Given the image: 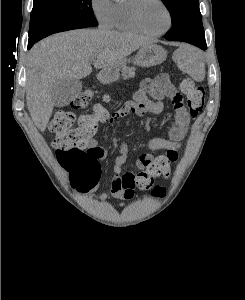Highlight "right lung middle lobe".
Instances as JSON below:
<instances>
[{
	"label": "right lung middle lobe",
	"instance_id": "dd1d6c3e",
	"mask_svg": "<svg viewBox=\"0 0 245 300\" xmlns=\"http://www.w3.org/2000/svg\"><path fill=\"white\" fill-rule=\"evenodd\" d=\"M97 25L91 0H34L28 43L53 33Z\"/></svg>",
	"mask_w": 245,
	"mask_h": 300
}]
</instances>
